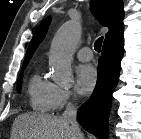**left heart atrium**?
Instances as JSON below:
<instances>
[{
    "label": "left heart atrium",
    "instance_id": "39dd6f15",
    "mask_svg": "<svg viewBox=\"0 0 141 139\" xmlns=\"http://www.w3.org/2000/svg\"><path fill=\"white\" fill-rule=\"evenodd\" d=\"M98 73L92 65H81L76 71V90L81 95L90 94L96 86Z\"/></svg>",
    "mask_w": 141,
    "mask_h": 139
}]
</instances>
